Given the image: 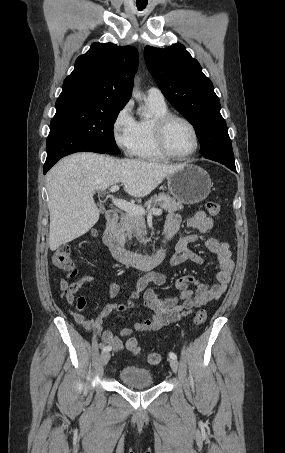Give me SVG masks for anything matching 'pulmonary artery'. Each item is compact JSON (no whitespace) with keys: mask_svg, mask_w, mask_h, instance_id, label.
<instances>
[{"mask_svg":"<svg viewBox=\"0 0 285 453\" xmlns=\"http://www.w3.org/2000/svg\"><path fill=\"white\" fill-rule=\"evenodd\" d=\"M147 100L156 104H166L162 91L157 87H151L147 90Z\"/></svg>","mask_w":285,"mask_h":453,"instance_id":"obj_1","label":"pulmonary artery"}]
</instances>
